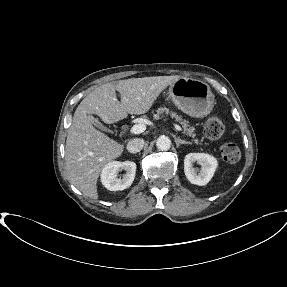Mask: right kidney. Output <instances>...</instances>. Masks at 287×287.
<instances>
[{"label":"right kidney","mask_w":287,"mask_h":287,"mask_svg":"<svg viewBox=\"0 0 287 287\" xmlns=\"http://www.w3.org/2000/svg\"><path fill=\"white\" fill-rule=\"evenodd\" d=\"M124 169L123 178H118V172ZM136 173V164L132 161H112L102 170L101 182L110 191L124 190L131 186Z\"/></svg>","instance_id":"ca27d5eb"}]
</instances>
